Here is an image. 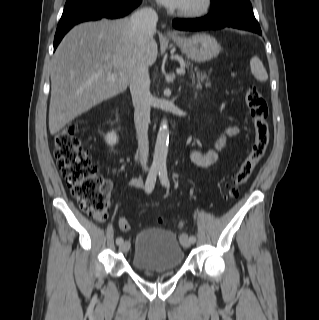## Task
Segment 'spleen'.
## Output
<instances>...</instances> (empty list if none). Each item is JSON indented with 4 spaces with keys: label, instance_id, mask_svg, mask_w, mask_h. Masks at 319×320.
Listing matches in <instances>:
<instances>
[{
    "label": "spleen",
    "instance_id": "obj_1",
    "mask_svg": "<svg viewBox=\"0 0 319 320\" xmlns=\"http://www.w3.org/2000/svg\"><path fill=\"white\" fill-rule=\"evenodd\" d=\"M250 67H251L252 74L258 81L263 82L268 79V74L258 57H253L250 60Z\"/></svg>",
    "mask_w": 319,
    "mask_h": 320
}]
</instances>
